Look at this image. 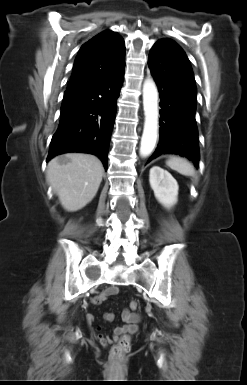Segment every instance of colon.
<instances>
[{
  "label": "colon",
  "mask_w": 247,
  "mask_h": 385,
  "mask_svg": "<svg viewBox=\"0 0 247 385\" xmlns=\"http://www.w3.org/2000/svg\"><path fill=\"white\" fill-rule=\"evenodd\" d=\"M130 309L132 311H136L139 307L138 302L132 301L130 303ZM130 345V338L127 335H123L119 342L114 345L111 349V358L113 360H120L124 352L129 348Z\"/></svg>",
  "instance_id": "1"
}]
</instances>
